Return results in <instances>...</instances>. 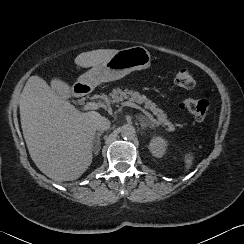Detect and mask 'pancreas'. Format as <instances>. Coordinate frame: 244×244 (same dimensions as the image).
I'll return each instance as SVG.
<instances>
[{"label":"pancreas","mask_w":244,"mask_h":244,"mask_svg":"<svg viewBox=\"0 0 244 244\" xmlns=\"http://www.w3.org/2000/svg\"><path fill=\"white\" fill-rule=\"evenodd\" d=\"M111 101L112 102H122L124 100H129L131 102H136L139 104H144V107L151 110L154 115H157L158 122L161 125H168L169 131H174L175 127L174 125L167 120V115L164 113V111L157 107L155 103H153L151 100L146 98L144 95H141L140 93L128 90V89H113V91L110 93Z\"/></svg>","instance_id":"1"}]
</instances>
